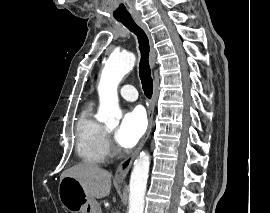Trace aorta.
Instances as JSON below:
<instances>
[{"mask_svg":"<svg viewBox=\"0 0 270 213\" xmlns=\"http://www.w3.org/2000/svg\"><path fill=\"white\" fill-rule=\"evenodd\" d=\"M135 60V55L131 52H114L107 59L98 86L100 106L97 118L99 121L108 125L119 123L122 113L119 108L117 88L123 77L133 69ZM149 166V154L140 153L134 161L131 172L128 213H143Z\"/></svg>","mask_w":270,"mask_h":213,"instance_id":"aorta-1","label":"aorta"}]
</instances>
